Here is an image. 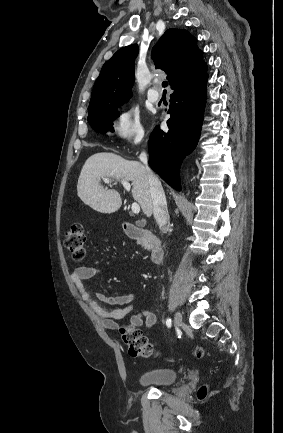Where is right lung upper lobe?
<instances>
[{
	"label": "right lung upper lobe",
	"instance_id": "obj_1",
	"mask_svg": "<svg viewBox=\"0 0 283 433\" xmlns=\"http://www.w3.org/2000/svg\"><path fill=\"white\" fill-rule=\"evenodd\" d=\"M136 44L121 48L103 66L97 78L88 114L102 108L123 104L133 93ZM197 40L186 30L170 28L152 49L156 68L164 70L172 88L187 87L206 76L207 64Z\"/></svg>",
	"mask_w": 283,
	"mask_h": 433
}]
</instances>
